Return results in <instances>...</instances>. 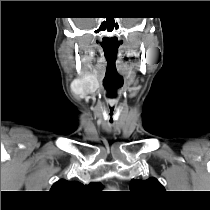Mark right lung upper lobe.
Listing matches in <instances>:
<instances>
[{
  "label": "right lung upper lobe",
  "instance_id": "1",
  "mask_svg": "<svg viewBox=\"0 0 210 210\" xmlns=\"http://www.w3.org/2000/svg\"><path fill=\"white\" fill-rule=\"evenodd\" d=\"M83 185L76 181H66L64 179H61L53 184L51 191L56 193H66L69 191L78 190ZM87 187L90 188H99L101 189L103 186L100 183H90Z\"/></svg>",
  "mask_w": 210,
  "mask_h": 210
}]
</instances>
